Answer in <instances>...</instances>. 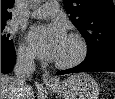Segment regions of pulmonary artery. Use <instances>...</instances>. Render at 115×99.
Wrapping results in <instances>:
<instances>
[{
  "label": "pulmonary artery",
  "instance_id": "1",
  "mask_svg": "<svg viewBox=\"0 0 115 99\" xmlns=\"http://www.w3.org/2000/svg\"><path fill=\"white\" fill-rule=\"evenodd\" d=\"M59 14V6L55 1H49L31 12L30 16L34 18H51Z\"/></svg>",
  "mask_w": 115,
  "mask_h": 99
}]
</instances>
